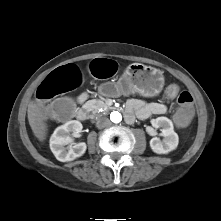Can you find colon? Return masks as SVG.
Here are the masks:
<instances>
[{"label": "colon", "instance_id": "1", "mask_svg": "<svg viewBox=\"0 0 221 221\" xmlns=\"http://www.w3.org/2000/svg\"><path fill=\"white\" fill-rule=\"evenodd\" d=\"M117 68L113 60L99 59L90 66L91 72L98 78L110 77ZM82 83V74L74 65H67L54 70L49 74L37 89V98L47 101L59 95L76 89ZM169 102H178L175 121L180 126L189 124L195 116L193 111V98L188 92H180L177 84H170L164 92ZM38 105V104H37ZM78 100L74 96L58 97L54 104H46L42 108V117L46 121H65L71 113L78 109Z\"/></svg>", "mask_w": 221, "mask_h": 221}]
</instances>
